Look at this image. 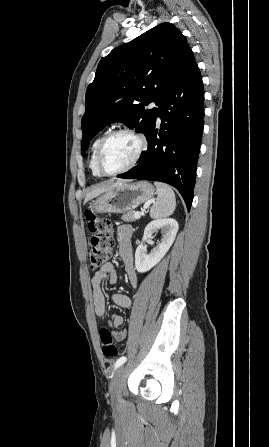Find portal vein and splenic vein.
<instances>
[{
    "label": "portal vein and splenic vein",
    "mask_w": 269,
    "mask_h": 447,
    "mask_svg": "<svg viewBox=\"0 0 269 447\" xmlns=\"http://www.w3.org/2000/svg\"><path fill=\"white\" fill-rule=\"evenodd\" d=\"M134 218H135V220H140V218H141L140 212H135Z\"/></svg>",
    "instance_id": "1"
}]
</instances>
